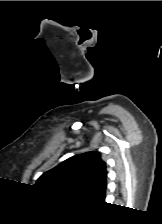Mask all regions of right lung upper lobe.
<instances>
[{
    "label": "right lung upper lobe",
    "mask_w": 162,
    "mask_h": 224,
    "mask_svg": "<svg viewBox=\"0 0 162 224\" xmlns=\"http://www.w3.org/2000/svg\"><path fill=\"white\" fill-rule=\"evenodd\" d=\"M105 162L98 152L73 156L43 173L36 186L49 192L80 197L88 203H103L107 187Z\"/></svg>",
    "instance_id": "cb5924a9"
}]
</instances>
